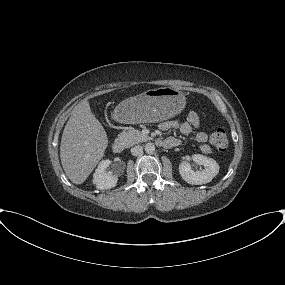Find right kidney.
<instances>
[{
	"mask_svg": "<svg viewBox=\"0 0 285 285\" xmlns=\"http://www.w3.org/2000/svg\"><path fill=\"white\" fill-rule=\"evenodd\" d=\"M111 163L109 159L102 160L93 174V184L99 190L111 189L117 185L118 176L106 171Z\"/></svg>",
	"mask_w": 285,
	"mask_h": 285,
	"instance_id": "1",
	"label": "right kidney"
}]
</instances>
